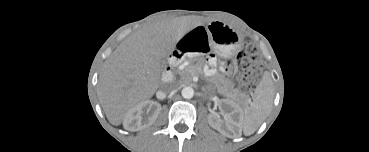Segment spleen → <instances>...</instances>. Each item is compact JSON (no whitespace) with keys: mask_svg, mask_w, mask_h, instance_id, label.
<instances>
[{"mask_svg":"<svg viewBox=\"0 0 369 152\" xmlns=\"http://www.w3.org/2000/svg\"><path fill=\"white\" fill-rule=\"evenodd\" d=\"M274 92L268 77L258 85L253 101L245 110L242 127L245 131L253 133L268 116L272 106Z\"/></svg>","mask_w":369,"mask_h":152,"instance_id":"obj_1","label":"spleen"}]
</instances>
